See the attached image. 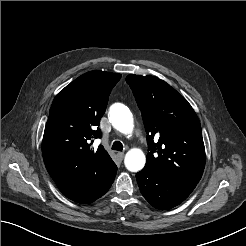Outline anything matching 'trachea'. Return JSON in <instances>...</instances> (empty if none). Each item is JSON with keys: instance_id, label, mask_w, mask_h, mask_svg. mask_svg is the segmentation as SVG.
Wrapping results in <instances>:
<instances>
[{"instance_id": "1", "label": "trachea", "mask_w": 246, "mask_h": 246, "mask_svg": "<svg viewBox=\"0 0 246 246\" xmlns=\"http://www.w3.org/2000/svg\"><path fill=\"white\" fill-rule=\"evenodd\" d=\"M113 150L121 151L123 150V145L120 141H115L112 145Z\"/></svg>"}]
</instances>
